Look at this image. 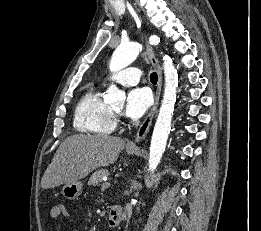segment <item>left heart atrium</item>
Wrapping results in <instances>:
<instances>
[{"instance_id":"left-heart-atrium-1","label":"left heart atrium","mask_w":261,"mask_h":231,"mask_svg":"<svg viewBox=\"0 0 261 231\" xmlns=\"http://www.w3.org/2000/svg\"><path fill=\"white\" fill-rule=\"evenodd\" d=\"M151 103V94L146 88H133L126 97L125 114L129 118L138 119L145 114Z\"/></svg>"}]
</instances>
